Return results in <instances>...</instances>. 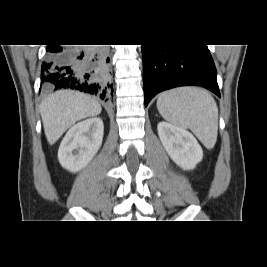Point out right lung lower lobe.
Returning <instances> with one entry per match:
<instances>
[{
	"instance_id": "obj_1",
	"label": "right lung lower lobe",
	"mask_w": 267,
	"mask_h": 267,
	"mask_svg": "<svg viewBox=\"0 0 267 267\" xmlns=\"http://www.w3.org/2000/svg\"><path fill=\"white\" fill-rule=\"evenodd\" d=\"M42 64L43 90L73 89L108 101L113 92L110 83L108 50L105 47L83 50L48 45Z\"/></svg>"
}]
</instances>
